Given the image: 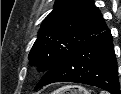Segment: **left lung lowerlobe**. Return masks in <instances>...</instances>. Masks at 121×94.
Listing matches in <instances>:
<instances>
[{
    "instance_id": "left-lung-lower-lobe-1",
    "label": "left lung lower lobe",
    "mask_w": 121,
    "mask_h": 94,
    "mask_svg": "<svg viewBox=\"0 0 121 94\" xmlns=\"http://www.w3.org/2000/svg\"><path fill=\"white\" fill-rule=\"evenodd\" d=\"M55 82L88 84L121 94L110 30L107 28L64 57L48 70L34 90Z\"/></svg>"
}]
</instances>
